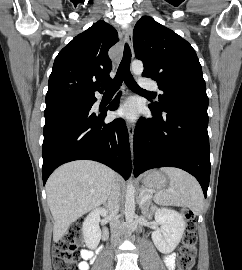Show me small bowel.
Returning a JSON list of instances; mask_svg holds the SVG:
<instances>
[{
  "instance_id": "obj_1",
  "label": "small bowel",
  "mask_w": 242,
  "mask_h": 270,
  "mask_svg": "<svg viewBox=\"0 0 242 270\" xmlns=\"http://www.w3.org/2000/svg\"><path fill=\"white\" fill-rule=\"evenodd\" d=\"M81 256L83 258V261L79 263L78 269L79 270H88L89 265L87 263L88 260H92L94 253L91 250L83 249L81 251ZM164 263L168 270H173L175 266V255L174 254H168L164 257Z\"/></svg>"
}]
</instances>
